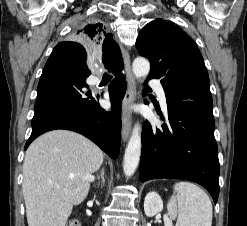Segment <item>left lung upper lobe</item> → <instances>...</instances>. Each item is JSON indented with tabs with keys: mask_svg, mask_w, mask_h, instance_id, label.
<instances>
[{
	"mask_svg": "<svg viewBox=\"0 0 247 226\" xmlns=\"http://www.w3.org/2000/svg\"><path fill=\"white\" fill-rule=\"evenodd\" d=\"M136 48L149 59V76L163 87L185 78L209 81L204 60L193 39L178 26L162 19L148 23L140 32Z\"/></svg>",
	"mask_w": 247,
	"mask_h": 226,
	"instance_id": "1",
	"label": "left lung upper lobe"
}]
</instances>
